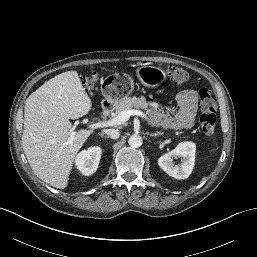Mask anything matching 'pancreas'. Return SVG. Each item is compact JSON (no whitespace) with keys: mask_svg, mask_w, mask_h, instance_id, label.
<instances>
[{"mask_svg":"<svg viewBox=\"0 0 257 257\" xmlns=\"http://www.w3.org/2000/svg\"><path fill=\"white\" fill-rule=\"evenodd\" d=\"M133 108L143 109L153 118H155L158 115V111L154 109L152 104L146 101L145 97L133 96L123 99L117 106H115V113H113V116L115 117L122 111L131 110Z\"/></svg>","mask_w":257,"mask_h":257,"instance_id":"1","label":"pancreas"}]
</instances>
